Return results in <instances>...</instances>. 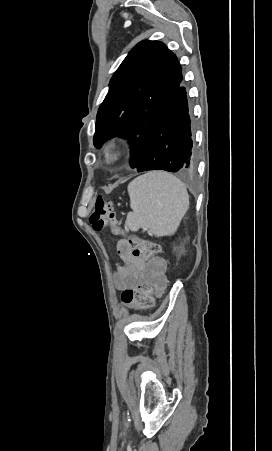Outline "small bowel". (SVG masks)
I'll return each mask as SVG.
<instances>
[{
    "label": "small bowel",
    "instance_id": "small-bowel-1",
    "mask_svg": "<svg viewBox=\"0 0 272 451\" xmlns=\"http://www.w3.org/2000/svg\"><path fill=\"white\" fill-rule=\"evenodd\" d=\"M117 254L123 261V264L117 265L114 273V284L118 290L132 288L140 282L150 262L155 264L160 275L167 270V262L159 256L146 255L145 260H132V246L122 245L121 240L117 243Z\"/></svg>",
    "mask_w": 272,
    "mask_h": 451
}]
</instances>
